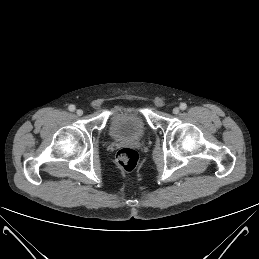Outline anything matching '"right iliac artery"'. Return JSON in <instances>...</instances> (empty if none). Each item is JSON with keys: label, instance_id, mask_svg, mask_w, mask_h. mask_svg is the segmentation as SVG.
Masks as SVG:
<instances>
[{"label": "right iliac artery", "instance_id": "obj_1", "mask_svg": "<svg viewBox=\"0 0 259 259\" xmlns=\"http://www.w3.org/2000/svg\"><path fill=\"white\" fill-rule=\"evenodd\" d=\"M68 109H69V111L73 112V111H75V106L71 104V105H69Z\"/></svg>", "mask_w": 259, "mask_h": 259}]
</instances>
